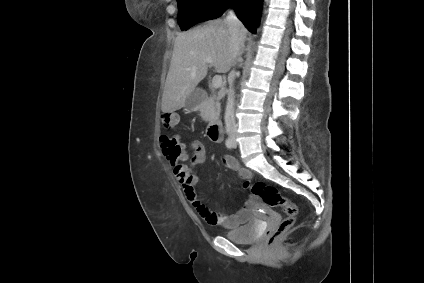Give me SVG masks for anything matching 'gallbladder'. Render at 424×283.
I'll return each instance as SVG.
<instances>
[{"mask_svg": "<svg viewBox=\"0 0 424 283\" xmlns=\"http://www.w3.org/2000/svg\"><path fill=\"white\" fill-rule=\"evenodd\" d=\"M203 94L202 90L196 89L194 90L186 99V108L194 109L197 107L201 101V96Z\"/></svg>", "mask_w": 424, "mask_h": 283, "instance_id": "1", "label": "gallbladder"}]
</instances>
